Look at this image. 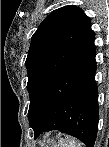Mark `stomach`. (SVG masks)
<instances>
[{
  "mask_svg": "<svg viewBox=\"0 0 109 147\" xmlns=\"http://www.w3.org/2000/svg\"><path fill=\"white\" fill-rule=\"evenodd\" d=\"M62 138L60 135L55 136L51 133L43 135L37 141V145L40 147H59L61 145Z\"/></svg>",
  "mask_w": 109,
  "mask_h": 147,
  "instance_id": "stomach-1",
  "label": "stomach"
}]
</instances>
